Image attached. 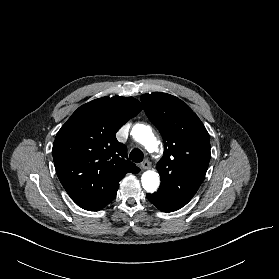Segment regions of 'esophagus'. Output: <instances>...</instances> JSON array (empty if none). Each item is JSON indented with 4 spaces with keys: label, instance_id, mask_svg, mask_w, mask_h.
Returning <instances> with one entry per match:
<instances>
[{
    "label": "esophagus",
    "instance_id": "1",
    "mask_svg": "<svg viewBox=\"0 0 279 279\" xmlns=\"http://www.w3.org/2000/svg\"><path fill=\"white\" fill-rule=\"evenodd\" d=\"M141 168L143 170H148L151 168V163L148 161V160H144L142 163H141Z\"/></svg>",
    "mask_w": 279,
    "mask_h": 279
}]
</instances>
